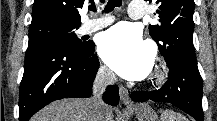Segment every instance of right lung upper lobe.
<instances>
[{
	"instance_id": "1",
	"label": "right lung upper lobe",
	"mask_w": 217,
	"mask_h": 121,
	"mask_svg": "<svg viewBox=\"0 0 217 121\" xmlns=\"http://www.w3.org/2000/svg\"><path fill=\"white\" fill-rule=\"evenodd\" d=\"M85 0H34L32 22L56 19L73 24H81L79 9Z\"/></svg>"
}]
</instances>
